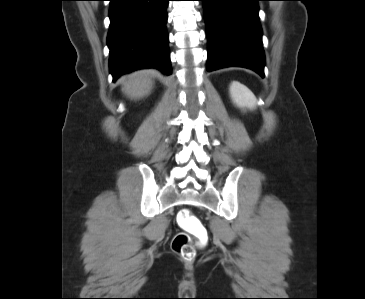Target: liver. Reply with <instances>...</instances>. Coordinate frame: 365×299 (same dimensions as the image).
Segmentation results:
<instances>
[{
  "instance_id": "liver-1",
  "label": "liver",
  "mask_w": 365,
  "mask_h": 299,
  "mask_svg": "<svg viewBox=\"0 0 365 299\" xmlns=\"http://www.w3.org/2000/svg\"><path fill=\"white\" fill-rule=\"evenodd\" d=\"M149 71H141L131 76V80L124 84L123 91L131 99H140L149 95L152 90L153 82L148 77Z\"/></svg>"
}]
</instances>
